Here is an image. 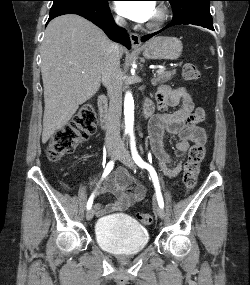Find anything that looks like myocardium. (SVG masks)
Wrapping results in <instances>:
<instances>
[{
  "label": "myocardium",
  "mask_w": 250,
  "mask_h": 285,
  "mask_svg": "<svg viewBox=\"0 0 250 285\" xmlns=\"http://www.w3.org/2000/svg\"><path fill=\"white\" fill-rule=\"evenodd\" d=\"M156 15L147 24V28L151 30H156L161 28L168 19V8L165 4L159 3L156 5Z\"/></svg>",
  "instance_id": "myocardium-1"
}]
</instances>
